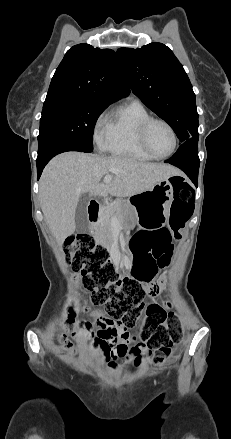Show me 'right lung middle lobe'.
Returning <instances> with one entry per match:
<instances>
[{
	"label": "right lung middle lobe",
	"instance_id": "obj_1",
	"mask_svg": "<svg viewBox=\"0 0 231 439\" xmlns=\"http://www.w3.org/2000/svg\"><path fill=\"white\" fill-rule=\"evenodd\" d=\"M108 105L74 100L43 105L38 136V157L61 144L93 151V131L99 115Z\"/></svg>",
	"mask_w": 231,
	"mask_h": 439
}]
</instances>
